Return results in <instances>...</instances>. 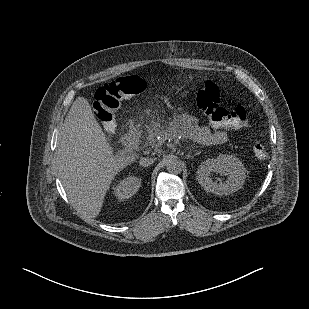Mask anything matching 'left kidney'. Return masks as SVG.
I'll use <instances>...</instances> for the list:
<instances>
[{"mask_svg":"<svg viewBox=\"0 0 309 309\" xmlns=\"http://www.w3.org/2000/svg\"><path fill=\"white\" fill-rule=\"evenodd\" d=\"M214 173L227 176V179L223 183L213 181L211 176ZM196 175L198 183L205 191L216 195H229L242 188L246 179V170L239 158L220 154L217 158H209L202 162Z\"/></svg>","mask_w":309,"mask_h":309,"instance_id":"left-kidney-1","label":"left kidney"}]
</instances>
